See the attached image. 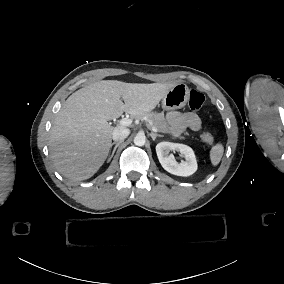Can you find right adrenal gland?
Returning <instances> with one entry per match:
<instances>
[{
  "mask_svg": "<svg viewBox=\"0 0 284 284\" xmlns=\"http://www.w3.org/2000/svg\"><path fill=\"white\" fill-rule=\"evenodd\" d=\"M121 143H122V142H114V143L111 144V146H110V152H111V150H112L113 147H114V149H113V152H112L111 157L109 158L110 161L113 159L114 154H115V152H116L118 146H119Z\"/></svg>",
  "mask_w": 284,
  "mask_h": 284,
  "instance_id": "2a0ac1e0",
  "label": "right adrenal gland"
}]
</instances>
